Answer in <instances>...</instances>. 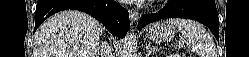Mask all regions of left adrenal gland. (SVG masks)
<instances>
[{
  "label": "left adrenal gland",
  "instance_id": "obj_1",
  "mask_svg": "<svg viewBox=\"0 0 249 57\" xmlns=\"http://www.w3.org/2000/svg\"><path fill=\"white\" fill-rule=\"evenodd\" d=\"M147 55H151L155 51H158L156 47H151L150 44L146 45Z\"/></svg>",
  "mask_w": 249,
  "mask_h": 57
}]
</instances>
